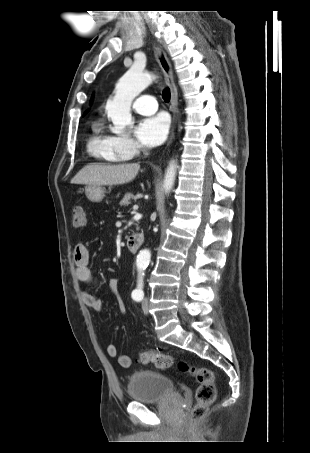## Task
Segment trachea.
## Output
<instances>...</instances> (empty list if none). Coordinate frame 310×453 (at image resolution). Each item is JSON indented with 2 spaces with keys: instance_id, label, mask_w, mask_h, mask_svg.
Wrapping results in <instances>:
<instances>
[{
  "instance_id": "1",
  "label": "trachea",
  "mask_w": 310,
  "mask_h": 453,
  "mask_svg": "<svg viewBox=\"0 0 310 453\" xmlns=\"http://www.w3.org/2000/svg\"><path fill=\"white\" fill-rule=\"evenodd\" d=\"M170 96H171L170 89H169V88H165V89L163 90V99H164L166 102H169Z\"/></svg>"
}]
</instances>
